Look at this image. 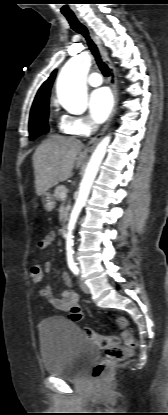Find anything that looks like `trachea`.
<instances>
[{
    "label": "trachea",
    "instance_id": "obj_1",
    "mask_svg": "<svg viewBox=\"0 0 168 415\" xmlns=\"http://www.w3.org/2000/svg\"><path fill=\"white\" fill-rule=\"evenodd\" d=\"M67 18L71 28L76 31L77 33L83 35L88 43L89 49L91 50L92 54L95 57L96 63L99 66L101 72L105 77H109V68L108 66L102 61L98 49L92 39L89 36L87 28L78 21L75 15H65Z\"/></svg>",
    "mask_w": 168,
    "mask_h": 415
}]
</instances>
